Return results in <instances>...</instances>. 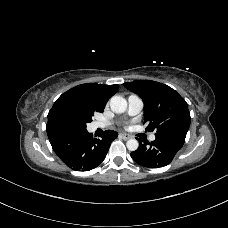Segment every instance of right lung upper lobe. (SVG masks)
I'll use <instances>...</instances> for the list:
<instances>
[{
  "label": "right lung upper lobe",
  "mask_w": 228,
  "mask_h": 228,
  "mask_svg": "<svg viewBox=\"0 0 228 228\" xmlns=\"http://www.w3.org/2000/svg\"><path fill=\"white\" fill-rule=\"evenodd\" d=\"M118 87L117 84L99 85L88 83L71 88L56 100L52 109L49 111L46 130L49 131L57 127L52 120V112L57 105L73 101L83 107L93 110L94 112L102 113L107 101L117 92Z\"/></svg>",
  "instance_id": "1"
}]
</instances>
